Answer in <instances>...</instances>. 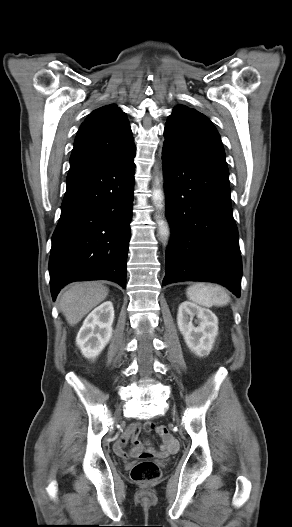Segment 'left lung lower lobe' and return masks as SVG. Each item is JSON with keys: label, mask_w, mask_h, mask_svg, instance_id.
<instances>
[{"label": "left lung lower lobe", "mask_w": 292, "mask_h": 527, "mask_svg": "<svg viewBox=\"0 0 292 527\" xmlns=\"http://www.w3.org/2000/svg\"><path fill=\"white\" fill-rule=\"evenodd\" d=\"M166 216L171 242L163 285L210 281L240 296L242 262L227 166L163 146Z\"/></svg>", "instance_id": "1"}]
</instances>
